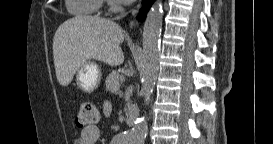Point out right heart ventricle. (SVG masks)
Here are the masks:
<instances>
[{
	"label": "right heart ventricle",
	"mask_w": 273,
	"mask_h": 144,
	"mask_svg": "<svg viewBox=\"0 0 273 144\" xmlns=\"http://www.w3.org/2000/svg\"><path fill=\"white\" fill-rule=\"evenodd\" d=\"M101 0H67L66 8L74 16H88L100 10Z\"/></svg>",
	"instance_id": "obj_1"
}]
</instances>
